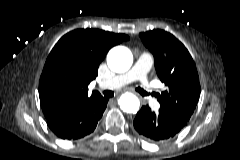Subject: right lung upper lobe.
I'll return each mask as SVG.
<instances>
[{
    "mask_svg": "<svg viewBox=\"0 0 240 160\" xmlns=\"http://www.w3.org/2000/svg\"><path fill=\"white\" fill-rule=\"evenodd\" d=\"M125 34L77 29L64 35L50 52L39 82V98L46 119L76 107L100 93L88 94L89 83L108 50L128 40Z\"/></svg>",
    "mask_w": 240,
    "mask_h": 160,
    "instance_id": "cb5924a9",
    "label": "right lung upper lobe"
}]
</instances>
